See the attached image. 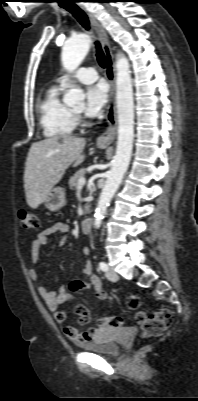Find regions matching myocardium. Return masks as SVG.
Wrapping results in <instances>:
<instances>
[{"label": "myocardium", "mask_w": 198, "mask_h": 401, "mask_svg": "<svg viewBox=\"0 0 198 401\" xmlns=\"http://www.w3.org/2000/svg\"><path fill=\"white\" fill-rule=\"evenodd\" d=\"M73 113L76 118V121H78L82 126H85L87 124L85 121H83L80 111L73 110Z\"/></svg>", "instance_id": "f54148a6"}]
</instances>
